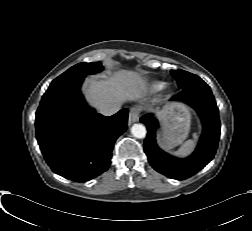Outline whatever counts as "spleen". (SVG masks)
Masks as SVG:
<instances>
[{
	"label": "spleen",
	"instance_id": "obj_1",
	"mask_svg": "<svg viewBox=\"0 0 252 231\" xmlns=\"http://www.w3.org/2000/svg\"><path fill=\"white\" fill-rule=\"evenodd\" d=\"M197 135L194 134V139L186 141L176 152L175 154L180 157H184L192 152L196 144Z\"/></svg>",
	"mask_w": 252,
	"mask_h": 231
}]
</instances>
